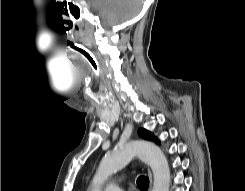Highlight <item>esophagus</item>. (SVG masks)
I'll return each mask as SVG.
<instances>
[{
	"instance_id": "esophagus-1",
	"label": "esophagus",
	"mask_w": 245,
	"mask_h": 191,
	"mask_svg": "<svg viewBox=\"0 0 245 191\" xmlns=\"http://www.w3.org/2000/svg\"><path fill=\"white\" fill-rule=\"evenodd\" d=\"M148 176H149V181H150L149 191H151V189H152V173L149 169H148Z\"/></svg>"
}]
</instances>
